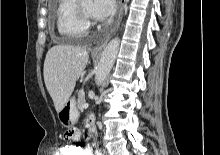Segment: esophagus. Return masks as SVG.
<instances>
[{
  "label": "esophagus",
  "instance_id": "34e87169",
  "mask_svg": "<svg viewBox=\"0 0 220 155\" xmlns=\"http://www.w3.org/2000/svg\"><path fill=\"white\" fill-rule=\"evenodd\" d=\"M120 3V9H119V15H118V18H117V21H116V24H115V27L113 29V33L117 30L119 24H120V21L122 19V15H123V11H124V4H125V0H120L119 1ZM112 33V34H113ZM111 36H109L103 43H101L99 46L95 47L93 49V53H100L104 48L105 46L107 45L109 39H110Z\"/></svg>",
  "mask_w": 220,
  "mask_h": 155
}]
</instances>
